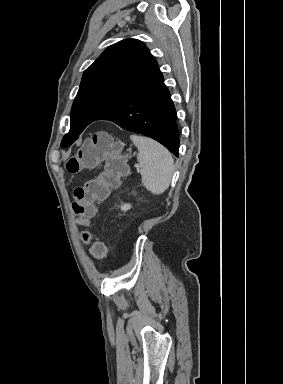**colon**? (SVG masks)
I'll list each match as a JSON object with an SVG mask.
<instances>
[{"mask_svg":"<svg viewBox=\"0 0 283 384\" xmlns=\"http://www.w3.org/2000/svg\"><path fill=\"white\" fill-rule=\"evenodd\" d=\"M104 163L103 170L74 190L73 210L81 225H87L95 214V203L107 198L117 188L121 178L128 172V166L120 153V146L105 132H95L83 142L75 155L66 162L69 173L92 169ZM89 232H83L85 242H90ZM91 252L96 258H105L108 250L102 242H95Z\"/></svg>","mask_w":283,"mask_h":384,"instance_id":"1","label":"colon"}]
</instances>
